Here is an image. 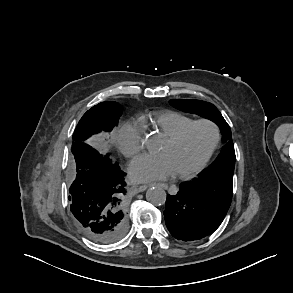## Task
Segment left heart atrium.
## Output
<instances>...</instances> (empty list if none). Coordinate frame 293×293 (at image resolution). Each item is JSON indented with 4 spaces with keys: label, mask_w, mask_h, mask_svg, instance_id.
Wrapping results in <instances>:
<instances>
[{
    "label": "left heart atrium",
    "mask_w": 293,
    "mask_h": 293,
    "mask_svg": "<svg viewBox=\"0 0 293 293\" xmlns=\"http://www.w3.org/2000/svg\"><path fill=\"white\" fill-rule=\"evenodd\" d=\"M174 174L172 164L164 154L142 155L130 164L131 178L138 182L165 180Z\"/></svg>",
    "instance_id": "left-heart-atrium-1"
}]
</instances>
